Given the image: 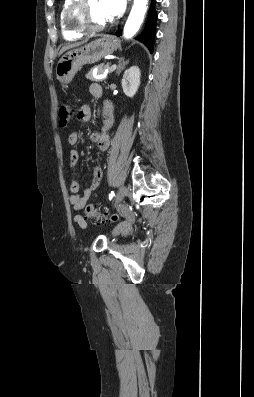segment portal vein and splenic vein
<instances>
[{
	"mask_svg": "<svg viewBox=\"0 0 254 397\" xmlns=\"http://www.w3.org/2000/svg\"><path fill=\"white\" fill-rule=\"evenodd\" d=\"M115 69H116V64H113V65L111 66V69H110V70L113 71V70H115ZM108 72H109V70H105L104 75L98 76L97 78H98V79L104 78L105 75H106Z\"/></svg>",
	"mask_w": 254,
	"mask_h": 397,
	"instance_id": "obj_1",
	"label": "portal vein and splenic vein"
}]
</instances>
